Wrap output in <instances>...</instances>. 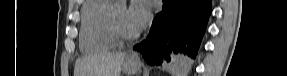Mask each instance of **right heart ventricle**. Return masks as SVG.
I'll list each match as a JSON object with an SVG mask.
<instances>
[{
	"label": "right heart ventricle",
	"mask_w": 287,
	"mask_h": 76,
	"mask_svg": "<svg viewBox=\"0 0 287 76\" xmlns=\"http://www.w3.org/2000/svg\"><path fill=\"white\" fill-rule=\"evenodd\" d=\"M113 7L111 0H86L81 9L80 48L84 52H101L112 49L117 38L111 32L108 15Z\"/></svg>",
	"instance_id": "1"
}]
</instances>
